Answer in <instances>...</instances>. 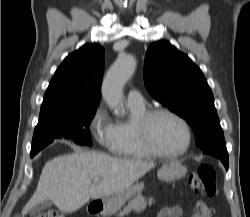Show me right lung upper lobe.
Segmentation results:
<instances>
[{
	"label": "right lung upper lobe",
	"instance_id": "1",
	"mask_svg": "<svg viewBox=\"0 0 250 217\" xmlns=\"http://www.w3.org/2000/svg\"><path fill=\"white\" fill-rule=\"evenodd\" d=\"M104 71V49L87 44L69 54L45 92L40 115L67 109L98 107Z\"/></svg>",
	"mask_w": 250,
	"mask_h": 217
}]
</instances>
